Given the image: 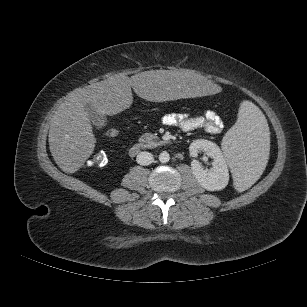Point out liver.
Wrapping results in <instances>:
<instances>
[{
  "instance_id": "1",
  "label": "liver",
  "mask_w": 307,
  "mask_h": 307,
  "mask_svg": "<svg viewBox=\"0 0 307 307\" xmlns=\"http://www.w3.org/2000/svg\"><path fill=\"white\" fill-rule=\"evenodd\" d=\"M134 92L147 101L162 102L184 97L211 99L222 95L219 81H207L192 70H151L130 78L109 77L72 91L51 118L48 141L56 164L66 173H75L94 151L96 139L88 118L87 106L103 115L127 109Z\"/></svg>"
}]
</instances>
